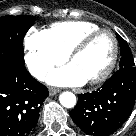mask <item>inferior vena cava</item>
I'll return each instance as SVG.
<instances>
[{"mask_svg":"<svg viewBox=\"0 0 136 136\" xmlns=\"http://www.w3.org/2000/svg\"><path fill=\"white\" fill-rule=\"evenodd\" d=\"M44 75H45V72L41 69H37L35 70V76L38 78V79H43L44 78Z\"/></svg>","mask_w":136,"mask_h":136,"instance_id":"602c4592","label":"inferior vena cava"}]
</instances>
